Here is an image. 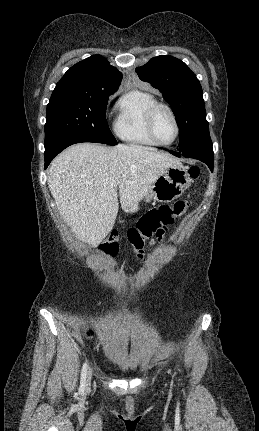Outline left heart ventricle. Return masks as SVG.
<instances>
[{"label":"left heart ventricle","instance_id":"1","mask_svg":"<svg viewBox=\"0 0 259 431\" xmlns=\"http://www.w3.org/2000/svg\"><path fill=\"white\" fill-rule=\"evenodd\" d=\"M154 131L158 140L163 143H168L173 139L175 126L170 114L166 110L160 109L156 113Z\"/></svg>","mask_w":259,"mask_h":431}]
</instances>
